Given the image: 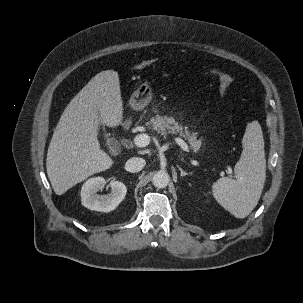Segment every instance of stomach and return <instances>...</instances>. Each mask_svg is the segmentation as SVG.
<instances>
[{"mask_svg":"<svg viewBox=\"0 0 303 303\" xmlns=\"http://www.w3.org/2000/svg\"><path fill=\"white\" fill-rule=\"evenodd\" d=\"M152 99V87L148 81L143 82L132 94L129 104L134 110H142Z\"/></svg>","mask_w":303,"mask_h":303,"instance_id":"1","label":"stomach"}]
</instances>
